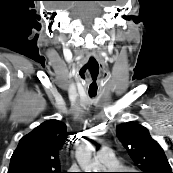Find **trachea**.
I'll use <instances>...</instances> for the list:
<instances>
[{
	"label": "trachea",
	"mask_w": 173,
	"mask_h": 173,
	"mask_svg": "<svg viewBox=\"0 0 173 173\" xmlns=\"http://www.w3.org/2000/svg\"><path fill=\"white\" fill-rule=\"evenodd\" d=\"M91 97L95 96V94H90Z\"/></svg>",
	"instance_id": "3493384b"
}]
</instances>
